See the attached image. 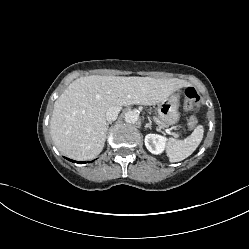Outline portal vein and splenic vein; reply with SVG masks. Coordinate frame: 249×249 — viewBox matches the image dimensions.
I'll return each mask as SVG.
<instances>
[{"instance_id":"1","label":"portal vein and splenic vein","mask_w":249,"mask_h":249,"mask_svg":"<svg viewBox=\"0 0 249 249\" xmlns=\"http://www.w3.org/2000/svg\"><path fill=\"white\" fill-rule=\"evenodd\" d=\"M166 132H167L168 134H172V132H171L169 129H166Z\"/></svg>"}]
</instances>
